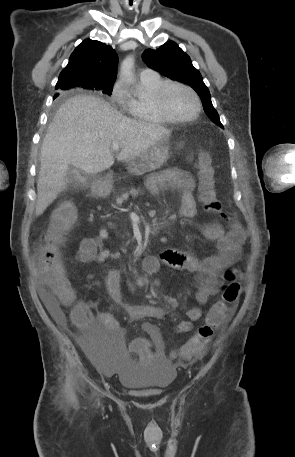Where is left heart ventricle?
I'll list each match as a JSON object with an SVG mask.
<instances>
[{
  "label": "left heart ventricle",
  "instance_id": "left-heart-ventricle-1",
  "mask_svg": "<svg viewBox=\"0 0 295 457\" xmlns=\"http://www.w3.org/2000/svg\"><path fill=\"white\" fill-rule=\"evenodd\" d=\"M166 106L175 117H188L195 111L193 96L185 89L172 87L166 94Z\"/></svg>",
  "mask_w": 295,
  "mask_h": 457
}]
</instances>
